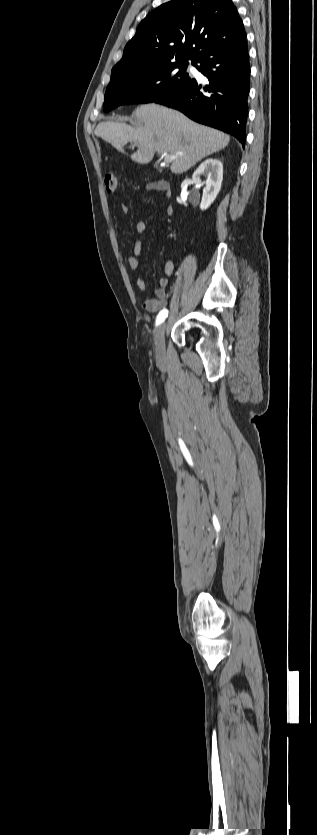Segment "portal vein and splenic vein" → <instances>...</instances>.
I'll return each mask as SVG.
<instances>
[{"label":"portal vein and splenic vein","mask_w":317,"mask_h":835,"mask_svg":"<svg viewBox=\"0 0 317 835\" xmlns=\"http://www.w3.org/2000/svg\"><path fill=\"white\" fill-rule=\"evenodd\" d=\"M174 158H175V155L168 154V153L164 154V162L165 163L172 162V160H174Z\"/></svg>","instance_id":"portal-vein-and-splenic-vein-1"}]
</instances>
